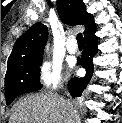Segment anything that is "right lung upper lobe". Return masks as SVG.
<instances>
[{"mask_svg": "<svg viewBox=\"0 0 122 123\" xmlns=\"http://www.w3.org/2000/svg\"><path fill=\"white\" fill-rule=\"evenodd\" d=\"M59 17L63 23L69 25H84V36L96 30L93 15L86 12L82 0H57ZM48 39V28L41 22L32 25L16 41L8 59L7 69L14 67L28 59L43 54Z\"/></svg>", "mask_w": 122, "mask_h": 123, "instance_id": "1", "label": "right lung upper lobe"}]
</instances>
